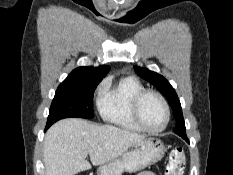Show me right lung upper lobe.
<instances>
[{"label": "right lung upper lobe", "mask_w": 233, "mask_h": 175, "mask_svg": "<svg viewBox=\"0 0 233 175\" xmlns=\"http://www.w3.org/2000/svg\"><path fill=\"white\" fill-rule=\"evenodd\" d=\"M110 67L107 65H101L99 67H78L73 70L63 83H72L85 80H102L106 76Z\"/></svg>", "instance_id": "right-lung-upper-lobe-1"}]
</instances>
